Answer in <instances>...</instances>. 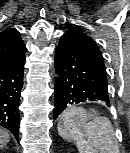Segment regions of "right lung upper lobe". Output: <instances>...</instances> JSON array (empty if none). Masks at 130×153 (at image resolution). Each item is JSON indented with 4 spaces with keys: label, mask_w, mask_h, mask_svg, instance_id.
<instances>
[{
    "label": "right lung upper lobe",
    "mask_w": 130,
    "mask_h": 153,
    "mask_svg": "<svg viewBox=\"0 0 130 153\" xmlns=\"http://www.w3.org/2000/svg\"><path fill=\"white\" fill-rule=\"evenodd\" d=\"M25 49L17 30L10 28L0 33V65L23 58Z\"/></svg>",
    "instance_id": "right-lung-upper-lobe-1"
}]
</instances>
